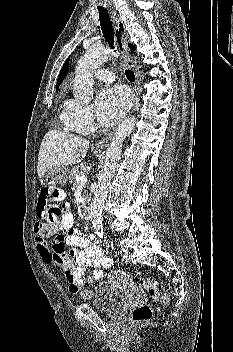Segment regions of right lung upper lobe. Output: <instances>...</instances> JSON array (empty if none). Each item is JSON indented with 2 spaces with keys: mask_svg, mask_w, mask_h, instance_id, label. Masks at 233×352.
I'll return each mask as SVG.
<instances>
[{
  "mask_svg": "<svg viewBox=\"0 0 233 352\" xmlns=\"http://www.w3.org/2000/svg\"><path fill=\"white\" fill-rule=\"evenodd\" d=\"M69 59L70 57L66 60V62L64 63L62 69H61V72L59 74V77L57 79V85H56V88H58L59 84L63 81V79L66 77L67 73H68V63H69Z\"/></svg>",
  "mask_w": 233,
  "mask_h": 352,
  "instance_id": "1",
  "label": "right lung upper lobe"
}]
</instances>
